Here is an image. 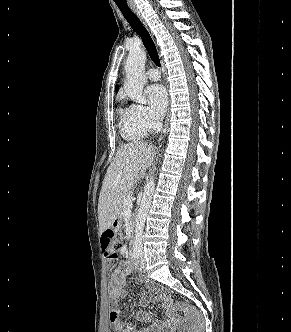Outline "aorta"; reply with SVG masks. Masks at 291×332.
<instances>
[{
	"mask_svg": "<svg viewBox=\"0 0 291 332\" xmlns=\"http://www.w3.org/2000/svg\"><path fill=\"white\" fill-rule=\"evenodd\" d=\"M146 62V53L144 50L131 51L125 64L126 93L136 102L145 104L146 99L143 96V86L145 81L144 67ZM155 190V179L150 180L144 186L142 200L139 205L134 241V254L141 255L143 251V233L145 221L151 206L152 197Z\"/></svg>",
	"mask_w": 291,
	"mask_h": 332,
	"instance_id": "762f6f07",
	"label": "aorta"
}]
</instances>
